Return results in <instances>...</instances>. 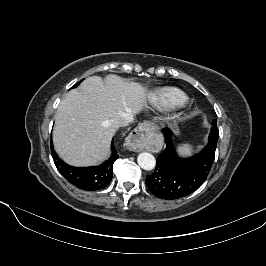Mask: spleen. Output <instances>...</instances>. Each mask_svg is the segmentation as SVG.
I'll return each mask as SVG.
<instances>
[{"instance_id": "obj_1", "label": "spleen", "mask_w": 266, "mask_h": 266, "mask_svg": "<svg viewBox=\"0 0 266 266\" xmlns=\"http://www.w3.org/2000/svg\"><path fill=\"white\" fill-rule=\"evenodd\" d=\"M179 150L182 154H190L192 147L189 144H183L179 147Z\"/></svg>"}]
</instances>
